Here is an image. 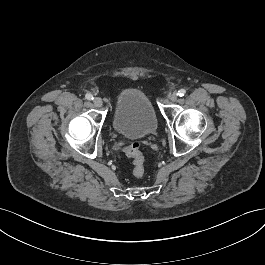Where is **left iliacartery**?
<instances>
[{
    "label": "left iliac artery",
    "mask_w": 265,
    "mask_h": 265,
    "mask_svg": "<svg viewBox=\"0 0 265 265\" xmlns=\"http://www.w3.org/2000/svg\"><path fill=\"white\" fill-rule=\"evenodd\" d=\"M185 93H186L185 89H180L177 94H178V96L182 97L185 95Z\"/></svg>",
    "instance_id": "1"
}]
</instances>
